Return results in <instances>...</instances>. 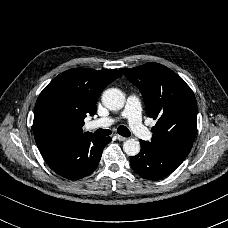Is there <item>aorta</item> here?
Here are the masks:
<instances>
[{
  "instance_id": "aorta-1",
  "label": "aorta",
  "mask_w": 228,
  "mask_h": 228,
  "mask_svg": "<svg viewBox=\"0 0 228 228\" xmlns=\"http://www.w3.org/2000/svg\"><path fill=\"white\" fill-rule=\"evenodd\" d=\"M125 96L118 88H108L102 94V103L109 110H119L123 107ZM123 150L130 156H135L140 151V143L135 139H128L123 144Z\"/></svg>"
}]
</instances>
